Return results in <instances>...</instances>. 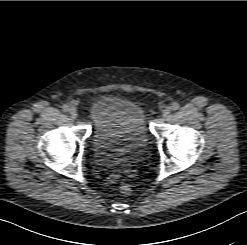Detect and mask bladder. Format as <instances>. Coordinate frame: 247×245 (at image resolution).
<instances>
[{
    "instance_id": "bladder-1",
    "label": "bladder",
    "mask_w": 247,
    "mask_h": 245,
    "mask_svg": "<svg viewBox=\"0 0 247 245\" xmlns=\"http://www.w3.org/2000/svg\"><path fill=\"white\" fill-rule=\"evenodd\" d=\"M92 148L101 165L119 163L141 154L149 143L146 115L136 102L112 95L90 105Z\"/></svg>"
}]
</instances>
